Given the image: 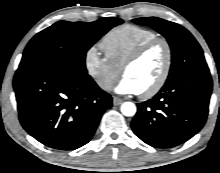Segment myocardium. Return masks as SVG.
Listing matches in <instances>:
<instances>
[{"instance_id":"myocardium-1","label":"myocardium","mask_w":220,"mask_h":173,"mask_svg":"<svg viewBox=\"0 0 220 173\" xmlns=\"http://www.w3.org/2000/svg\"><path fill=\"white\" fill-rule=\"evenodd\" d=\"M159 45H162L166 51L165 65L160 77L154 83V85L148 90L140 93L141 98L144 99L151 98L156 94H158L163 89L164 85L166 84L169 78L173 64V50L171 44L164 38H159V37L155 38L143 44L136 51H134L130 55V57L125 61L122 67V74L124 75L128 68H130L132 65L140 61L149 51H151L153 48Z\"/></svg>"}]
</instances>
